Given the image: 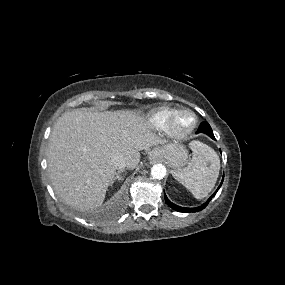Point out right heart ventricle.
<instances>
[{
  "instance_id": "obj_1",
  "label": "right heart ventricle",
  "mask_w": 285,
  "mask_h": 285,
  "mask_svg": "<svg viewBox=\"0 0 285 285\" xmlns=\"http://www.w3.org/2000/svg\"><path fill=\"white\" fill-rule=\"evenodd\" d=\"M174 113L175 110L169 107H161L149 113L146 117V121L150 126L156 128L166 127Z\"/></svg>"
}]
</instances>
